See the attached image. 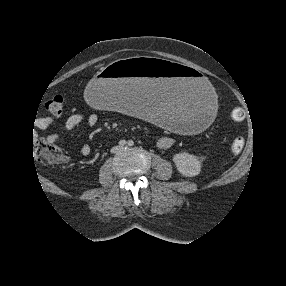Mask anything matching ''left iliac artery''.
Returning a JSON list of instances; mask_svg holds the SVG:
<instances>
[{
  "instance_id": "44dca946",
  "label": "left iliac artery",
  "mask_w": 286,
  "mask_h": 286,
  "mask_svg": "<svg viewBox=\"0 0 286 286\" xmlns=\"http://www.w3.org/2000/svg\"><path fill=\"white\" fill-rule=\"evenodd\" d=\"M128 145H129V146H133V145H134V142H133L132 140H129V141H128Z\"/></svg>"
}]
</instances>
